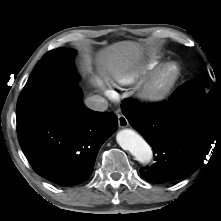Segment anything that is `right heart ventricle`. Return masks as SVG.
I'll return each mask as SVG.
<instances>
[{
  "label": "right heart ventricle",
  "instance_id": "right-heart-ventricle-1",
  "mask_svg": "<svg viewBox=\"0 0 221 221\" xmlns=\"http://www.w3.org/2000/svg\"><path fill=\"white\" fill-rule=\"evenodd\" d=\"M155 65H156V62H154L153 64H151V65L149 66V68L151 69V68H153ZM140 76H141L140 74H132V75H129V76L125 77V78L120 79V82H121L122 84H132V83H134L135 81H137V80L140 78Z\"/></svg>",
  "mask_w": 221,
  "mask_h": 221
}]
</instances>
